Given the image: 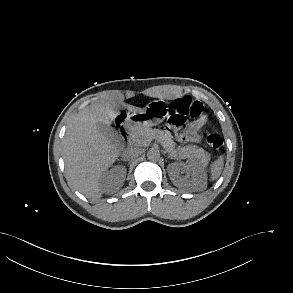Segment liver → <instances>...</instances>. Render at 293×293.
Returning <instances> with one entry per match:
<instances>
[{
    "label": "liver",
    "mask_w": 293,
    "mask_h": 293,
    "mask_svg": "<svg viewBox=\"0 0 293 293\" xmlns=\"http://www.w3.org/2000/svg\"><path fill=\"white\" fill-rule=\"evenodd\" d=\"M116 104H92L84 108L69 124L63 139V157L68 182L88 198L102 195L100 178L119 157L120 147L107 139L97 128L98 123L110 125L116 115ZM129 112L140 111L125 105Z\"/></svg>",
    "instance_id": "obj_1"
}]
</instances>
